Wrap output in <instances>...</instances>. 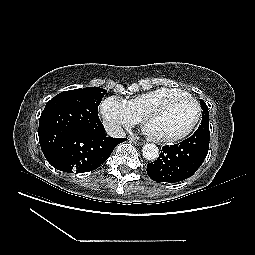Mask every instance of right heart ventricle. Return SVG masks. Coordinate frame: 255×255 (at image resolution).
<instances>
[{"mask_svg": "<svg viewBox=\"0 0 255 255\" xmlns=\"http://www.w3.org/2000/svg\"><path fill=\"white\" fill-rule=\"evenodd\" d=\"M178 88L171 87H159L155 88L141 94H138L126 102L131 107V109L141 118L143 113L157 100L163 96L172 93L174 91H180Z\"/></svg>", "mask_w": 255, "mask_h": 255, "instance_id": "1", "label": "right heart ventricle"}]
</instances>
